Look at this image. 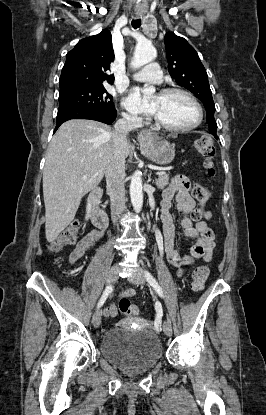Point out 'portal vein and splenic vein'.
Wrapping results in <instances>:
<instances>
[{"label":"portal vein and splenic vein","instance_id":"obj_1","mask_svg":"<svg viewBox=\"0 0 266 415\" xmlns=\"http://www.w3.org/2000/svg\"><path fill=\"white\" fill-rule=\"evenodd\" d=\"M156 174H157V175H161V174H165V172H164V171H159V172H157ZM83 179H84V180H86V179H87V177H86V176H83Z\"/></svg>","mask_w":266,"mask_h":415}]
</instances>
